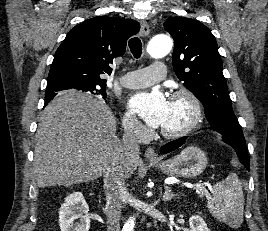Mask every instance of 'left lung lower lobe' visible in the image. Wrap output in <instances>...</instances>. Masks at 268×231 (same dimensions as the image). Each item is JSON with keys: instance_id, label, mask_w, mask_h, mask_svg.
I'll return each mask as SVG.
<instances>
[{"instance_id": "left-lung-lower-lobe-1", "label": "left lung lower lobe", "mask_w": 268, "mask_h": 231, "mask_svg": "<svg viewBox=\"0 0 268 231\" xmlns=\"http://www.w3.org/2000/svg\"><path fill=\"white\" fill-rule=\"evenodd\" d=\"M187 139V137H181L177 140H174L172 142L167 143L166 145L162 146L160 151L162 153H169L174 151L175 149L179 148L184 144V141ZM239 157L240 162L248 169L250 170V158L248 156L247 147L242 146H236L233 147Z\"/></svg>"}]
</instances>
